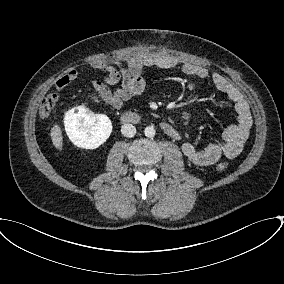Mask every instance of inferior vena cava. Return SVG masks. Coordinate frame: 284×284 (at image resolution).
<instances>
[{
  "instance_id": "602c4592",
  "label": "inferior vena cava",
  "mask_w": 284,
  "mask_h": 284,
  "mask_svg": "<svg viewBox=\"0 0 284 284\" xmlns=\"http://www.w3.org/2000/svg\"><path fill=\"white\" fill-rule=\"evenodd\" d=\"M121 132L125 137H133L136 134V128L132 124H124L121 127Z\"/></svg>"
}]
</instances>
